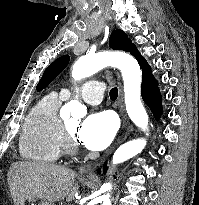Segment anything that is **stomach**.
Segmentation results:
<instances>
[{
	"label": "stomach",
	"instance_id": "stomach-1",
	"mask_svg": "<svg viewBox=\"0 0 199 205\" xmlns=\"http://www.w3.org/2000/svg\"><path fill=\"white\" fill-rule=\"evenodd\" d=\"M28 200L29 202L34 203L37 199L30 197ZM31 205H34V204H31ZM38 205H54V204L52 202L41 200Z\"/></svg>",
	"mask_w": 199,
	"mask_h": 205
}]
</instances>
